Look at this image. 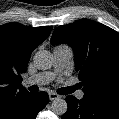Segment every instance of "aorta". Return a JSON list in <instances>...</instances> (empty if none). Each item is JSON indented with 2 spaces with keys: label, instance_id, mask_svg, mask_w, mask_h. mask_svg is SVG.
<instances>
[{
  "label": "aorta",
  "instance_id": "aorta-1",
  "mask_svg": "<svg viewBox=\"0 0 119 119\" xmlns=\"http://www.w3.org/2000/svg\"><path fill=\"white\" fill-rule=\"evenodd\" d=\"M34 65L39 70L50 69L54 63L53 55L46 50L38 51L33 57ZM67 102L62 98H55L52 101L51 109L57 115H63L67 112Z\"/></svg>",
  "mask_w": 119,
  "mask_h": 119
}]
</instances>
